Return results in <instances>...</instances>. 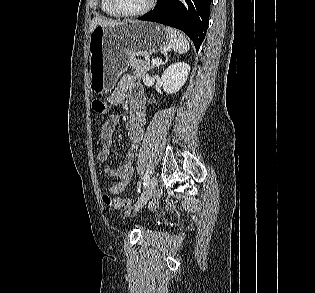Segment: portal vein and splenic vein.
Listing matches in <instances>:
<instances>
[{"label":"portal vein and splenic vein","mask_w":315,"mask_h":293,"mask_svg":"<svg viewBox=\"0 0 315 293\" xmlns=\"http://www.w3.org/2000/svg\"><path fill=\"white\" fill-rule=\"evenodd\" d=\"M152 64L158 66L159 65V61H157L156 59L152 60Z\"/></svg>","instance_id":"portal-vein-and-splenic-vein-1"}]
</instances>
